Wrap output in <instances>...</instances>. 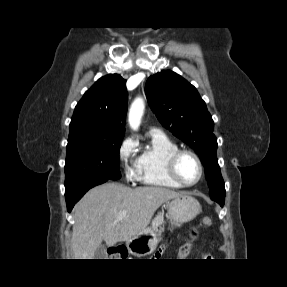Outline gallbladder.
<instances>
[{
	"instance_id": "1",
	"label": "gallbladder",
	"mask_w": 287,
	"mask_h": 287,
	"mask_svg": "<svg viewBox=\"0 0 287 287\" xmlns=\"http://www.w3.org/2000/svg\"><path fill=\"white\" fill-rule=\"evenodd\" d=\"M106 257V250L103 244H100L95 251V259H105Z\"/></svg>"
}]
</instances>
